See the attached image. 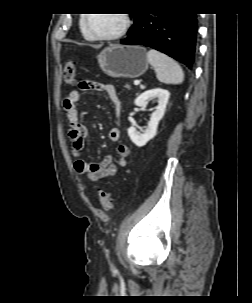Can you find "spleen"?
Listing matches in <instances>:
<instances>
[{
  "label": "spleen",
  "mask_w": 252,
  "mask_h": 303,
  "mask_svg": "<svg viewBox=\"0 0 252 303\" xmlns=\"http://www.w3.org/2000/svg\"><path fill=\"white\" fill-rule=\"evenodd\" d=\"M147 59L156 72L157 79L165 84H181L184 73L180 65L167 55L154 49L147 53Z\"/></svg>",
  "instance_id": "spleen-1"
}]
</instances>
